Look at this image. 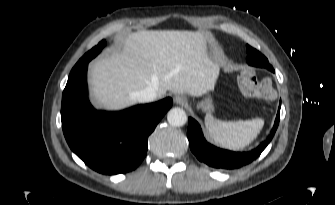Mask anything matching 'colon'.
<instances>
[{
	"label": "colon",
	"mask_w": 335,
	"mask_h": 205,
	"mask_svg": "<svg viewBox=\"0 0 335 205\" xmlns=\"http://www.w3.org/2000/svg\"><path fill=\"white\" fill-rule=\"evenodd\" d=\"M237 83L242 94L250 98L270 99L274 94L271 82L267 79L259 81L249 69L238 75Z\"/></svg>",
	"instance_id": "5ec220e1"
}]
</instances>
